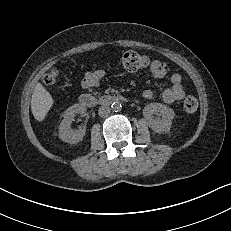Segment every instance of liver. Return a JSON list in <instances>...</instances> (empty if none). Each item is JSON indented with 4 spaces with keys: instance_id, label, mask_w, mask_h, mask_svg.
Segmentation results:
<instances>
[{
    "instance_id": "1",
    "label": "liver",
    "mask_w": 231,
    "mask_h": 231,
    "mask_svg": "<svg viewBox=\"0 0 231 231\" xmlns=\"http://www.w3.org/2000/svg\"><path fill=\"white\" fill-rule=\"evenodd\" d=\"M53 105V98L49 91L37 83L31 98V110L37 121H43Z\"/></svg>"
}]
</instances>
